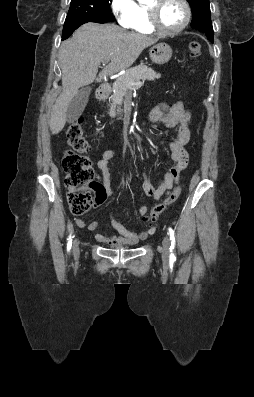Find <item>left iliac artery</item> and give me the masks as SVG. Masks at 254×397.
I'll return each instance as SVG.
<instances>
[{"instance_id":"1","label":"left iliac artery","mask_w":254,"mask_h":397,"mask_svg":"<svg viewBox=\"0 0 254 397\" xmlns=\"http://www.w3.org/2000/svg\"><path fill=\"white\" fill-rule=\"evenodd\" d=\"M169 235H170V240H171V247H170V260L174 261L175 255H174V246H175V236H174V231L172 228H169Z\"/></svg>"}]
</instances>
